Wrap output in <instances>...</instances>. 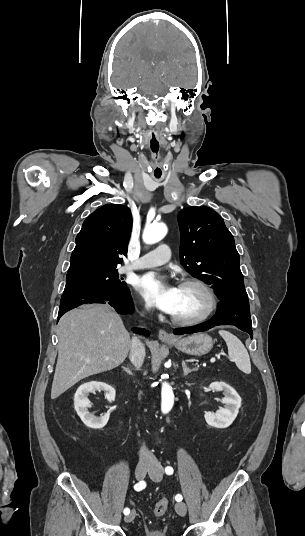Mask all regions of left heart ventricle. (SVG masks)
I'll use <instances>...</instances> for the list:
<instances>
[{
  "label": "left heart ventricle",
  "mask_w": 305,
  "mask_h": 536,
  "mask_svg": "<svg viewBox=\"0 0 305 536\" xmlns=\"http://www.w3.org/2000/svg\"><path fill=\"white\" fill-rule=\"evenodd\" d=\"M209 307L207 294L195 285H179L176 305L171 312L178 316H197Z\"/></svg>",
  "instance_id": "b2bd125f"
}]
</instances>
